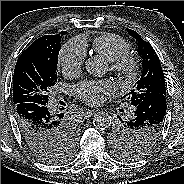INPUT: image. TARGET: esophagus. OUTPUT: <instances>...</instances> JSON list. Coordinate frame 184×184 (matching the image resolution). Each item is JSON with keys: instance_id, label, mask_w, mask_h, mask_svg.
Listing matches in <instances>:
<instances>
[{"instance_id": "34e87169", "label": "esophagus", "mask_w": 184, "mask_h": 184, "mask_svg": "<svg viewBox=\"0 0 184 184\" xmlns=\"http://www.w3.org/2000/svg\"><path fill=\"white\" fill-rule=\"evenodd\" d=\"M86 112V114L88 115V116H90V115H92V114H94L95 113V111L94 110H86L85 111Z\"/></svg>"}]
</instances>
